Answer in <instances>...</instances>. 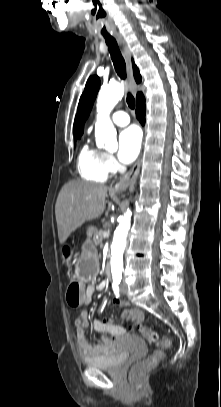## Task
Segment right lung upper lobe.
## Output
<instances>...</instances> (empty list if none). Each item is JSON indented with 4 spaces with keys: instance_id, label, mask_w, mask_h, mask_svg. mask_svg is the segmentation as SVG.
I'll list each match as a JSON object with an SVG mask.
<instances>
[{
    "instance_id": "obj_1",
    "label": "right lung upper lobe",
    "mask_w": 221,
    "mask_h": 407,
    "mask_svg": "<svg viewBox=\"0 0 221 407\" xmlns=\"http://www.w3.org/2000/svg\"><path fill=\"white\" fill-rule=\"evenodd\" d=\"M132 63H133V72H134L135 80H136L137 83H139L141 81V75L139 73V70H138L137 66L134 64V61ZM143 97L144 96H143L142 93H138L137 97H136V101H138L139 99H141ZM74 135H75V125H74ZM74 139H76V135H75Z\"/></svg>"
}]
</instances>
